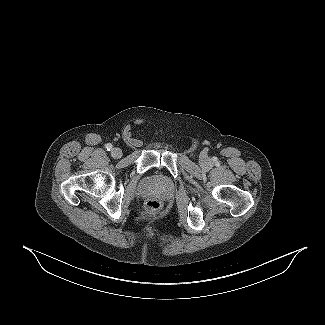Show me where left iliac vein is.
Instances as JSON below:
<instances>
[{
	"mask_svg": "<svg viewBox=\"0 0 325 325\" xmlns=\"http://www.w3.org/2000/svg\"><path fill=\"white\" fill-rule=\"evenodd\" d=\"M201 165L203 166V167H205V166H208L209 165V159L207 158V157H203L202 159H201Z\"/></svg>",
	"mask_w": 325,
	"mask_h": 325,
	"instance_id": "1",
	"label": "left iliac vein"
}]
</instances>
